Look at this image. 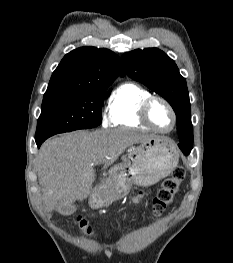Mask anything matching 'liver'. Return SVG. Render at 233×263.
I'll use <instances>...</instances> for the list:
<instances>
[{
  "instance_id": "1",
  "label": "liver",
  "mask_w": 233,
  "mask_h": 263,
  "mask_svg": "<svg viewBox=\"0 0 233 263\" xmlns=\"http://www.w3.org/2000/svg\"><path fill=\"white\" fill-rule=\"evenodd\" d=\"M153 135L128 129L76 131L48 139L39 150L37 174L48 211L59 210L92 193L93 166L113 164L129 146Z\"/></svg>"
}]
</instances>
